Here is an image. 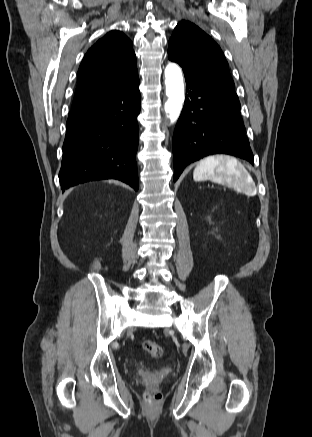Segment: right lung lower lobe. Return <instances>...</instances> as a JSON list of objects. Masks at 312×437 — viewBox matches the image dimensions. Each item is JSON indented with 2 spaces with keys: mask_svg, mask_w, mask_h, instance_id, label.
Wrapping results in <instances>:
<instances>
[{
  "mask_svg": "<svg viewBox=\"0 0 312 437\" xmlns=\"http://www.w3.org/2000/svg\"><path fill=\"white\" fill-rule=\"evenodd\" d=\"M139 112L137 76L111 96L69 113L59 172L63 191L100 179L121 180L138 190Z\"/></svg>",
  "mask_w": 312,
  "mask_h": 437,
  "instance_id": "98d812e1",
  "label": "right lung lower lobe"
}]
</instances>
